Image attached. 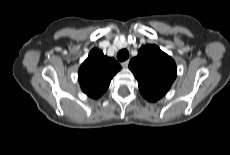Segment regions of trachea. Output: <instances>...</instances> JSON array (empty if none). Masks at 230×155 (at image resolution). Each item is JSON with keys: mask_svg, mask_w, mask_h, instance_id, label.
<instances>
[{"mask_svg": "<svg viewBox=\"0 0 230 155\" xmlns=\"http://www.w3.org/2000/svg\"><path fill=\"white\" fill-rule=\"evenodd\" d=\"M128 57H129V52L126 49L120 50L117 54V59L119 61H125L128 59Z\"/></svg>", "mask_w": 230, "mask_h": 155, "instance_id": "3493384b", "label": "trachea"}]
</instances>
